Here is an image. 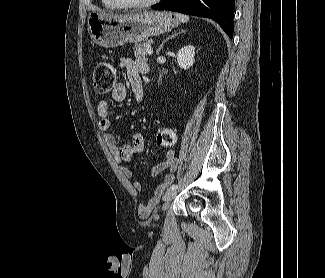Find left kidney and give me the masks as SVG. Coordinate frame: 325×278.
<instances>
[{
	"label": "left kidney",
	"instance_id": "5707ae66",
	"mask_svg": "<svg viewBox=\"0 0 325 278\" xmlns=\"http://www.w3.org/2000/svg\"><path fill=\"white\" fill-rule=\"evenodd\" d=\"M195 49L193 46H185L177 53L178 66L184 70L191 67L194 63Z\"/></svg>",
	"mask_w": 325,
	"mask_h": 278
}]
</instances>
